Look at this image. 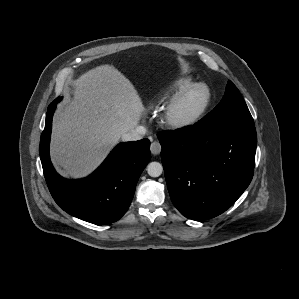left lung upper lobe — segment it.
Instances as JSON below:
<instances>
[{"instance_id": "left-lung-upper-lobe-1", "label": "left lung upper lobe", "mask_w": 299, "mask_h": 299, "mask_svg": "<svg viewBox=\"0 0 299 299\" xmlns=\"http://www.w3.org/2000/svg\"><path fill=\"white\" fill-rule=\"evenodd\" d=\"M199 123L212 128L254 126L244 99L231 81H228L225 95L220 103Z\"/></svg>"}]
</instances>
